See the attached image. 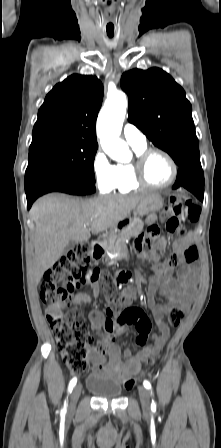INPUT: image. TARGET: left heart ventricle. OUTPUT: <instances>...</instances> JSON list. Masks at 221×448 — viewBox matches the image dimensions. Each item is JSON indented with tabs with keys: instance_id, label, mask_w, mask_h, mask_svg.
Wrapping results in <instances>:
<instances>
[{
	"instance_id": "1",
	"label": "left heart ventricle",
	"mask_w": 221,
	"mask_h": 448,
	"mask_svg": "<svg viewBox=\"0 0 221 448\" xmlns=\"http://www.w3.org/2000/svg\"><path fill=\"white\" fill-rule=\"evenodd\" d=\"M172 174V167L164 156L154 154L149 158L146 175L150 182L153 184H165L171 179Z\"/></svg>"
}]
</instances>
